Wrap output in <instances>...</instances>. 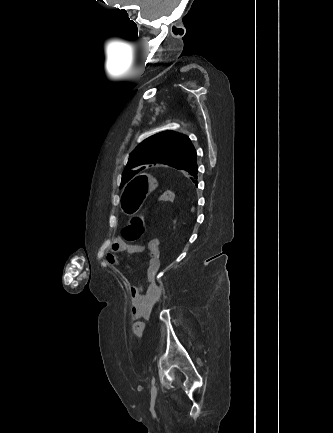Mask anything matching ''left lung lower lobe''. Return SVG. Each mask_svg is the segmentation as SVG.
Returning a JSON list of instances; mask_svg holds the SVG:
<instances>
[{
  "mask_svg": "<svg viewBox=\"0 0 333 433\" xmlns=\"http://www.w3.org/2000/svg\"><path fill=\"white\" fill-rule=\"evenodd\" d=\"M183 170L187 171L190 175H192L195 179H197L198 166L196 160L192 164L184 168Z\"/></svg>",
  "mask_w": 333,
  "mask_h": 433,
  "instance_id": "1",
  "label": "left lung lower lobe"
}]
</instances>
